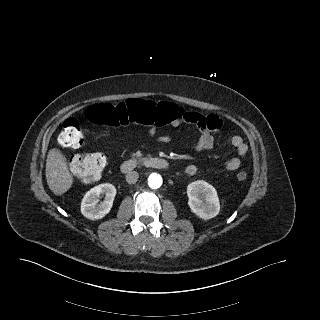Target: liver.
<instances>
[{
	"mask_svg": "<svg viewBox=\"0 0 320 320\" xmlns=\"http://www.w3.org/2000/svg\"><path fill=\"white\" fill-rule=\"evenodd\" d=\"M46 180L55 195H62L73 184V176L67 168L66 158L57 149L48 152L46 160Z\"/></svg>",
	"mask_w": 320,
	"mask_h": 320,
	"instance_id": "liver-1",
	"label": "liver"
}]
</instances>
